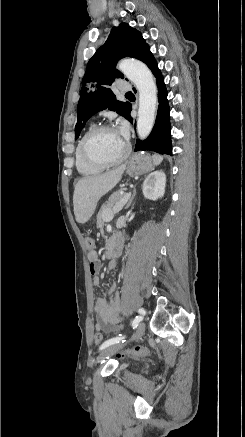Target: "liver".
<instances>
[{"instance_id": "liver-1", "label": "liver", "mask_w": 245, "mask_h": 437, "mask_svg": "<svg viewBox=\"0 0 245 437\" xmlns=\"http://www.w3.org/2000/svg\"><path fill=\"white\" fill-rule=\"evenodd\" d=\"M125 165L97 176H87L75 185L73 194L74 215L78 223L84 224L92 217L98 201L121 180Z\"/></svg>"}]
</instances>
